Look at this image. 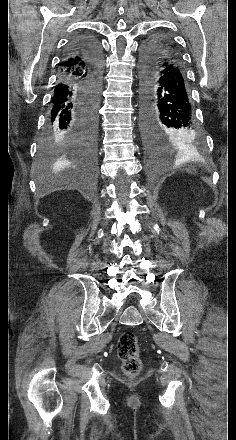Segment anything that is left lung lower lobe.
I'll use <instances>...</instances> for the list:
<instances>
[{
    "mask_svg": "<svg viewBox=\"0 0 236 440\" xmlns=\"http://www.w3.org/2000/svg\"><path fill=\"white\" fill-rule=\"evenodd\" d=\"M141 130L151 155L173 147L202 142L188 83L179 55L143 61Z\"/></svg>",
    "mask_w": 236,
    "mask_h": 440,
    "instance_id": "left-lung-lower-lobe-1",
    "label": "left lung lower lobe"
}]
</instances>
